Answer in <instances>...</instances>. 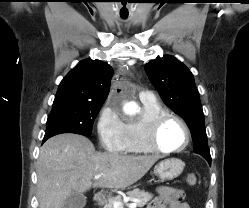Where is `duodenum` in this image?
I'll list each match as a JSON object with an SVG mask.
<instances>
[{
    "label": "duodenum",
    "instance_id": "obj_1",
    "mask_svg": "<svg viewBox=\"0 0 249 208\" xmlns=\"http://www.w3.org/2000/svg\"><path fill=\"white\" fill-rule=\"evenodd\" d=\"M93 200H94L96 205H101L105 200V194L104 193H97L94 196Z\"/></svg>",
    "mask_w": 249,
    "mask_h": 208
}]
</instances>
